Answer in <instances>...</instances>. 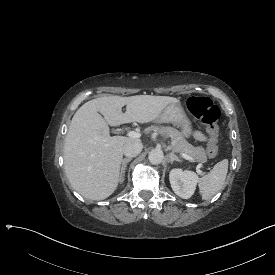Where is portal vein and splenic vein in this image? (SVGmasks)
Segmentation results:
<instances>
[{"mask_svg":"<svg viewBox=\"0 0 275 275\" xmlns=\"http://www.w3.org/2000/svg\"><path fill=\"white\" fill-rule=\"evenodd\" d=\"M127 135L130 137V138H140L141 137V133H139V132H136V131H130V132H128L127 133ZM182 155V157L184 158V159H186V160H189V161H193V158L192 157H190V156H188L187 154H181ZM201 166H202V164H198L197 165V172H199V173H201V171H200V168H201Z\"/></svg>","mask_w":275,"mask_h":275,"instance_id":"18ae733b","label":"portal vein and splenic vein"}]
</instances>
